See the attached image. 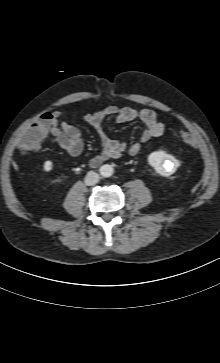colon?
I'll use <instances>...</instances> for the list:
<instances>
[{"instance_id": "obj_1", "label": "colon", "mask_w": 220, "mask_h": 363, "mask_svg": "<svg viewBox=\"0 0 220 363\" xmlns=\"http://www.w3.org/2000/svg\"><path fill=\"white\" fill-rule=\"evenodd\" d=\"M54 119V114L52 112H46L41 115L40 119L35 122L25 133V139L29 145H38L45 138L49 131V127ZM180 139L189 145L195 143L194 136L188 131H181Z\"/></svg>"}]
</instances>
